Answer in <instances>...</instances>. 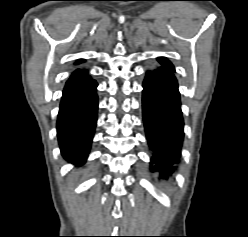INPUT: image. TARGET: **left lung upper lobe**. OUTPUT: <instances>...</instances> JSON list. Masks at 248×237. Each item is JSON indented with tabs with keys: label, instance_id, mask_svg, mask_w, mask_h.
Wrapping results in <instances>:
<instances>
[{
	"label": "left lung upper lobe",
	"instance_id": "left-lung-upper-lobe-1",
	"mask_svg": "<svg viewBox=\"0 0 248 237\" xmlns=\"http://www.w3.org/2000/svg\"><path fill=\"white\" fill-rule=\"evenodd\" d=\"M158 60H159V62H160L164 67H166V68H168V69H171V70H174V66H173L172 63H171L169 60H167L166 58H159Z\"/></svg>",
	"mask_w": 248,
	"mask_h": 237
}]
</instances>
